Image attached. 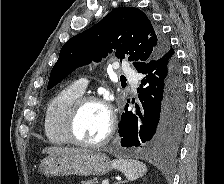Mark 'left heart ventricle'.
<instances>
[{"label":"left heart ventricle","mask_w":224,"mask_h":184,"mask_svg":"<svg viewBox=\"0 0 224 184\" xmlns=\"http://www.w3.org/2000/svg\"><path fill=\"white\" fill-rule=\"evenodd\" d=\"M108 125L107 110L99 104L90 103L83 107L78 116L76 134L82 141L96 142L106 135Z\"/></svg>","instance_id":"left-heart-ventricle-1"}]
</instances>
